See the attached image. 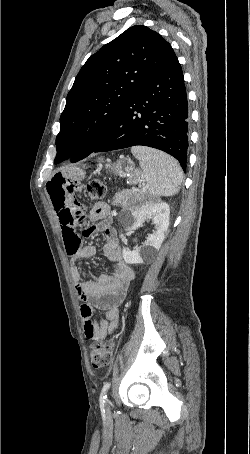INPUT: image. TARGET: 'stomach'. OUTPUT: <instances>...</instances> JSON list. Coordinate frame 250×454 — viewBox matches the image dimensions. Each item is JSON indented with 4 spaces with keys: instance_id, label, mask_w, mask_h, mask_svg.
<instances>
[{
    "instance_id": "0dacf381",
    "label": "stomach",
    "mask_w": 250,
    "mask_h": 454,
    "mask_svg": "<svg viewBox=\"0 0 250 454\" xmlns=\"http://www.w3.org/2000/svg\"><path fill=\"white\" fill-rule=\"evenodd\" d=\"M108 168L115 175L127 177L130 184H136L140 181L142 174L135 169L133 162L129 158H121L114 163H109Z\"/></svg>"
}]
</instances>
